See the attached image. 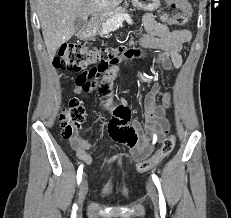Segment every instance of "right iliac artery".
Returning <instances> with one entry per match:
<instances>
[{
  "mask_svg": "<svg viewBox=\"0 0 231 218\" xmlns=\"http://www.w3.org/2000/svg\"><path fill=\"white\" fill-rule=\"evenodd\" d=\"M82 173H83V165H81V166L78 168V171H77V182H78V184L81 182ZM76 210H77V205L74 204V206H73V212L75 213Z\"/></svg>",
  "mask_w": 231,
  "mask_h": 218,
  "instance_id": "1",
  "label": "right iliac artery"
}]
</instances>
